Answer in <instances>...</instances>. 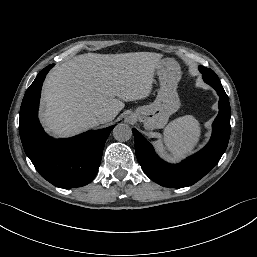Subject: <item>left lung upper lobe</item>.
Masks as SVG:
<instances>
[{"label":"left lung upper lobe","instance_id":"obj_1","mask_svg":"<svg viewBox=\"0 0 257 257\" xmlns=\"http://www.w3.org/2000/svg\"><path fill=\"white\" fill-rule=\"evenodd\" d=\"M199 69H200V71L203 75V79L206 83H208L212 87H222L218 76L211 69H208L203 66H200Z\"/></svg>","mask_w":257,"mask_h":257}]
</instances>
